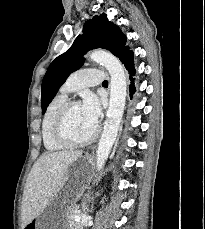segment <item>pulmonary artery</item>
<instances>
[{"mask_svg":"<svg viewBox=\"0 0 205 229\" xmlns=\"http://www.w3.org/2000/svg\"><path fill=\"white\" fill-rule=\"evenodd\" d=\"M105 79L104 71L96 68H83L71 74L60 91L67 96L82 87L102 84Z\"/></svg>","mask_w":205,"mask_h":229,"instance_id":"obj_1","label":"pulmonary artery"}]
</instances>
